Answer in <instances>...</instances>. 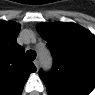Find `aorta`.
Instances as JSON below:
<instances>
[{"instance_id":"1","label":"aorta","mask_w":95,"mask_h":95,"mask_svg":"<svg viewBox=\"0 0 95 95\" xmlns=\"http://www.w3.org/2000/svg\"><path fill=\"white\" fill-rule=\"evenodd\" d=\"M39 60L42 68L48 70L52 67V56L47 48L38 49Z\"/></svg>"}]
</instances>
